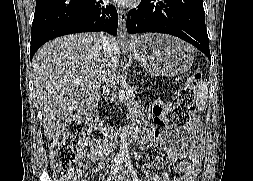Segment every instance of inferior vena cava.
Returning a JSON list of instances; mask_svg holds the SVG:
<instances>
[{"label": "inferior vena cava", "instance_id": "1", "mask_svg": "<svg viewBox=\"0 0 253 181\" xmlns=\"http://www.w3.org/2000/svg\"><path fill=\"white\" fill-rule=\"evenodd\" d=\"M98 35L101 39L102 48H103V51H104V55L106 57L107 54H110L113 51L114 45L111 42L110 38H108L104 33L101 32V33H98Z\"/></svg>", "mask_w": 253, "mask_h": 181}]
</instances>
